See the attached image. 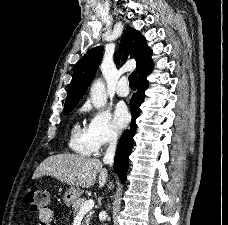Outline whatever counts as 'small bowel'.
<instances>
[{
    "mask_svg": "<svg viewBox=\"0 0 228 225\" xmlns=\"http://www.w3.org/2000/svg\"><path fill=\"white\" fill-rule=\"evenodd\" d=\"M38 225H55L54 215L50 209L45 210L39 214Z\"/></svg>",
    "mask_w": 228,
    "mask_h": 225,
    "instance_id": "1",
    "label": "small bowel"
}]
</instances>
